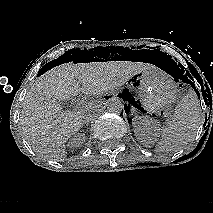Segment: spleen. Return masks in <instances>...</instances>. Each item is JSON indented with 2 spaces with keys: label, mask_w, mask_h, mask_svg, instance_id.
I'll use <instances>...</instances> for the list:
<instances>
[{
  "label": "spleen",
  "mask_w": 213,
  "mask_h": 213,
  "mask_svg": "<svg viewBox=\"0 0 213 213\" xmlns=\"http://www.w3.org/2000/svg\"><path fill=\"white\" fill-rule=\"evenodd\" d=\"M201 107L195 91L190 90L176 105L174 114L162 129L156 152L177 151L195 138L201 119Z\"/></svg>",
  "instance_id": "1"
}]
</instances>
